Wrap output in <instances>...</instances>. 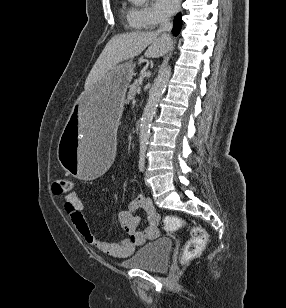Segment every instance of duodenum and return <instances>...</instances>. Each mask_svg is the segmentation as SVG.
Returning <instances> with one entry per match:
<instances>
[{
	"label": "duodenum",
	"mask_w": 286,
	"mask_h": 308,
	"mask_svg": "<svg viewBox=\"0 0 286 308\" xmlns=\"http://www.w3.org/2000/svg\"><path fill=\"white\" fill-rule=\"evenodd\" d=\"M140 125H141L140 120H137V121L135 122V129H136V130H139V129H140Z\"/></svg>",
	"instance_id": "1"
}]
</instances>
